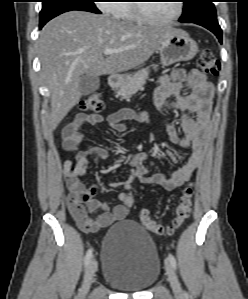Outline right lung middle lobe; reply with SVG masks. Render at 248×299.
<instances>
[{
  "instance_id": "dd1d6c3e",
  "label": "right lung middle lobe",
  "mask_w": 248,
  "mask_h": 299,
  "mask_svg": "<svg viewBox=\"0 0 248 299\" xmlns=\"http://www.w3.org/2000/svg\"><path fill=\"white\" fill-rule=\"evenodd\" d=\"M40 12V23L47 22L55 16L71 11L81 10L100 14L94 0H43Z\"/></svg>"
}]
</instances>
